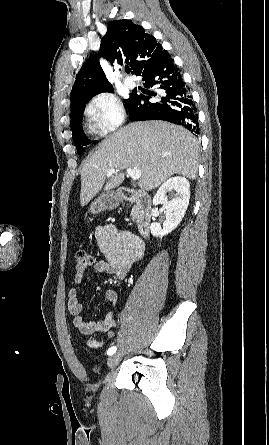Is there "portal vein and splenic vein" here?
Returning <instances> with one entry per match:
<instances>
[{"instance_id": "portal-vein-and-splenic-vein-1", "label": "portal vein and splenic vein", "mask_w": 269, "mask_h": 445, "mask_svg": "<svg viewBox=\"0 0 269 445\" xmlns=\"http://www.w3.org/2000/svg\"><path fill=\"white\" fill-rule=\"evenodd\" d=\"M118 170L117 169H110L107 171V176L110 177L112 176L114 173H116ZM127 174L135 181V180H139L141 177V171L139 169H132V168H128L126 170Z\"/></svg>"}]
</instances>
